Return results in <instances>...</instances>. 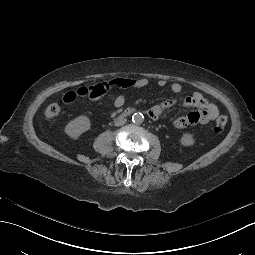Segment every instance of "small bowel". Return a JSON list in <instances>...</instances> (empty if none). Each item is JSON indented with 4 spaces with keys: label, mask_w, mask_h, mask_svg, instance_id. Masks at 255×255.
I'll return each mask as SVG.
<instances>
[{
    "label": "small bowel",
    "mask_w": 255,
    "mask_h": 255,
    "mask_svg": "<svg viewBox=\"0 0 255 255\" xmlns=\"http://www.w3.org/2000/svg\"><path fill=\"white\" fill-rule=\"evenodd\" d=\"M156 84L159 87H166L168 85L165 79L157 80ZM148 85L149 80L147 78H116L107 82H98L91 86L83 85L69 90L63 96V101L65 103H71L78 97H88L89 99L96 101L101 99L111 90L140 89ZM169 86L173 93L177 94L182 91V85L179 82H172ZM125 101V94H119L114 99V105L115 107H122ZM176 101L175 98H169L160 104L153 106L150 110L151 117L158 118L165 110L174 106ZM183 104L187 107H195L197 110L191 111L174 120V126L179 129L189 125L206 124L214 120L219 114L218 107L214 103L208 101L200 92H194L186 97Z\"/></svg>",
    "instance_id": "small-bowel-1"
}]
</instances>
